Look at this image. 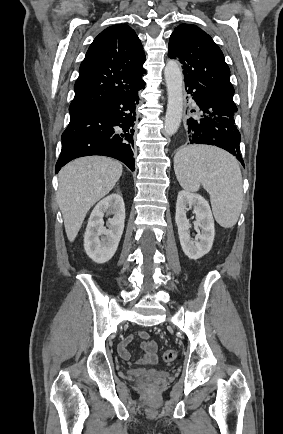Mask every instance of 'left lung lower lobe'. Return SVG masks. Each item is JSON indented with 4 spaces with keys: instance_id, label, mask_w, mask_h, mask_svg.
<instances>
[{
    "instance_id": "0a47b994",
    "label": "left lung lower lobe",
    "mask_w": 283,
    "mask_h": 434,
    "mask_svg": "<svg viewBox=\"0 0 283 434\" xmlns=\"http://www.w3.org/2000/svg\"><path fill=\"white\" fill-rule=\"evenodd\" d=\"M185 88L198 106L187 119L190 144H208L223 148L233 154L244 166L240 154V132L235 126L237 107L233 98L213 90L199 82L184 79Z\"/></svg>"
}]
</instances>
